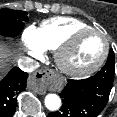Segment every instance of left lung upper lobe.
<instances>
[{"instance_id": "left-lung-upper-lobe-1", "label": "left lung upper lobe", "mask_w": 117, "mask_h": 117, "mask_svg": "<svg viewBox=\"0 0 117 117\" xmlns=\"http://www.w3.org/2000/svg\"><path fill=\"white\" fill-rule=\"evenodd\" d=\"M103 68H104V70H107V69L110 70L112 75H114V71H115V57H114V52H113L112 49L109 52V56H108L107 62L104 65Z\"/></svg>"}]
</instances>
